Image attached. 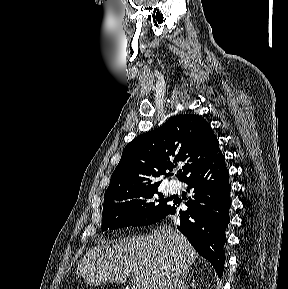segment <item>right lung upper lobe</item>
Instances as JSON below:
<instances>
[{
  "instance_id": "cb5924a9",
  "label": "right lung upper lobe",
  "mask_w": 288,
  "mask_h": 289,
  "mask_svg": "<svg viewBox=\"0 0 288 289\" xmlns=\"http://www.w3.org/2000/svg\"><path fill=\"white\" fill-rule=\"evenodd\" d=\"M220 152L219 142L201 116L187 114L170 118L162 127L132 140L123 150L105 196L111 193L158 187L156 178L171 171L179 161L184 181Z\"/></svg>"
}]
</instances>
